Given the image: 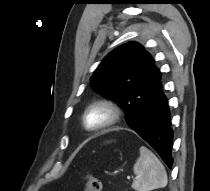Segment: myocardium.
Returning a JSON list of instances; mask_svg holds the SVG:
<instances>
[{"instance_id": "obj_1", "label": "myocardium", "mask_w": 210, "mask_h": 191, "mask_svg": "<svg viewBox=\"0 0 210 191\" xmlns=\"http://www.w3.org/2000/svg\"><path fill=\"white\" fill-rule=\"evenodd\" d=\"M95 108L105 109L109 113V118L104 124L90 128L86 125V117L88 113ZM122 117H123V110L117 102L111 99L102 98L93 101L84 109L81 116V124L85 131L90 133H98L113 128L114 126L120 123Z\"/></svg>"}]
</instances>
